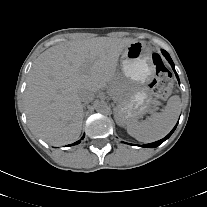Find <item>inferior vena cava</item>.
<instances>
[{
	"label": "inferior vena cava",
	"instance_id": "inferior-vena-cava-1",
	"mask_svg": "<svg viewBox=\"0 0 207 207\" xmlns=\"http://www.w3.org/2000/svg\"><path fill=\"white\" fill-rule=\"evenodd\" d=\"M95 94L89 90H83L80 93V99L84 103H90L94 100Z\"/></svg>",
	"mask_w": 207,
	"mask_h": 207
}]
</instances>
